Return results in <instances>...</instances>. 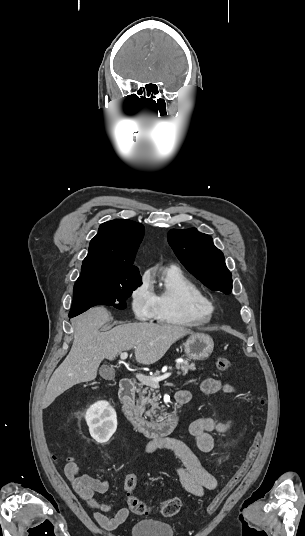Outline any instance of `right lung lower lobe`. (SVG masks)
<instances>
[{
    "instance_id": "obj_1",
    "label": "right lung lower lobe",
    "mask_w": 305,
    "mask_h": 536,
    "mask_svg": "<svg viewBox=\"0 0 305 536\" xmlns=\"http://www.w3.org/2000/svg\"><path fill=\"white\" fill-rule=\"evenodd\" d=\"M74 316H77V315H76V314H70V313H69V318H72V317H74Z\"/></svg>"
}]
</instances>
